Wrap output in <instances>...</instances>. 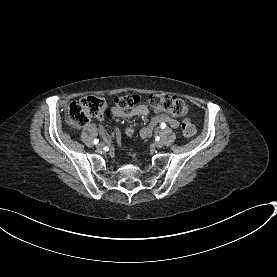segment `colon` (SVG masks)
<instances>
[{"label":"colon","mask_w":277,"mask_h":277,"mask_svg":"<svg viewBox=\"0 0 277 277\" xmlns=\"http://www.w3.org/2000/svg\"><path fill=\"white\" fill-rule=\"evenodd\" d=\"M113 100L123 110L135 104L132 95L115 96ZM148 104L159 114L184 117L188 112L187 104L174 95L152 94L148 97ZM69 105L71 124L79 128L85 126L90 120L100 119L105 102L102 94H89L85 99H70ZM181 131L186 137H191L195 133V127L189 119H184L181 123Z\"/></svg>","instance_id":"colon-1"}]
</instances>
